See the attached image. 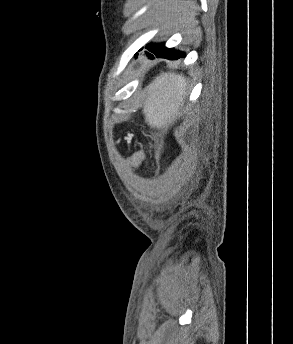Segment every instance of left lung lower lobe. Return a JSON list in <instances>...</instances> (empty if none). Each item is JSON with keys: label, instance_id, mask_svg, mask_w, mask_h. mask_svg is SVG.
<instances>
[{"label": "left lung lower lobe", "instance_id": "left-lung-lower-lobe-1", "mask_svg": "<svg viewBox=\"0 0 293 344\" xmlns=\"http://www.w3.org/2000/svg\"><path fill=\"white\" fill-rule=\"evenodd\" d=\"M146 48L150 52L155 54L157 57L167 58L170 60L178 59V58L185 56V54L183 52L174 50L173 48H166L163 44L148 45ZM146 54L149 58H153L152 54L147 53V52H146Z\"/></svg>", "mask_w": 293, "mask_h": 344}]
</instances>
